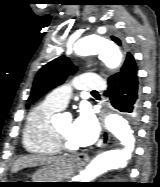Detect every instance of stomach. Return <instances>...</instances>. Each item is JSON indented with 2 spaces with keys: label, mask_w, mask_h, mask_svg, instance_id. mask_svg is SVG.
I'll return each mask as SVG.
<instances>
[{
  "label": "stomach",
  "mask_w": 160,
  "mask_h": 187,
  "mask_svg": "<svg viewBox=\"0 0 160 187\" xmlns=\"http://www.w3.org/2000/svg\"><path fill=\"white\" fill-rule=\"evenodd\" d=\"M77 168V164L72 158H64L50 165L39 168L32 176L30 182H66ZM63 183H32V187H55Z\"/></svg>",
  "instance_id": "stomach-1"
}]
</instances>
